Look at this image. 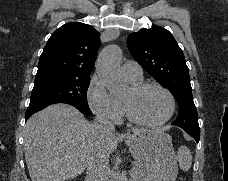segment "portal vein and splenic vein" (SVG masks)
I'll return each mask as SVG.
<instances>
[{
    "instance_id": "portal-vein-and-splenic-vein-1",
    "label": "portal vein and splenic vein",
    "mask_w": 228,
    "mask_h": 181,
    "mask_svg": "<svg viewBox=\"0 0 228 181\" xmlns=\"http://www.w3.org/2000/svg\"><path fill=\"white\" fill-rule=\"evenodd\" d=\"M128 172L131 174L133 171L130 169Z\"/></svg>"
}]
</instances>
